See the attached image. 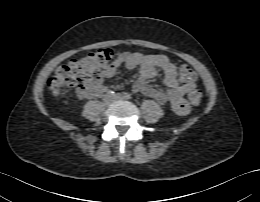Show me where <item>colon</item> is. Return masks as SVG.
<instances>
[{
    "label": "colon",
    "mask_w": 260,
    "mask_h": 202,
    "mask_svg": "<svg viewBox=\"0 0 260 202\" xmlns=\"http://www.w3.org/2000/svg\"><path fill=\"white\" fill-rule=\"evenodd\" d=\"M112 56V51L104 48L91 52L80 59H76L60 67L50 79L49 86L51 89H81L87 80L107 67ZM179 75L183 82H193L196 79V73L186 64L179 66ZM189 100L193 104H198L201 100V92L199 90H192L189 93Z\"/></svg>",
    "instance_id": "obj_1"
}]
</instances>
